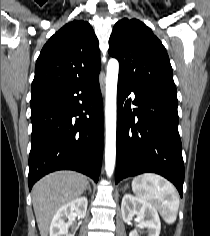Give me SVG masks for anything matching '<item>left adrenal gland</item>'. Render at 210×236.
<instances>
[{"label":"left adrenal gland","instance_id":"a2214340","mask_svg":"<svg viewBox=\"0 0 210 236\" xmlns=\"http://www.w3.org/2000/svg\"><path fill=\"white\" fill-rule=\"evenodd\" d=\"M128 186L123 187L122 191L124 192L127 189Z\"/></svg>","mask_w":210,"mask_h":236}]
</instances>
